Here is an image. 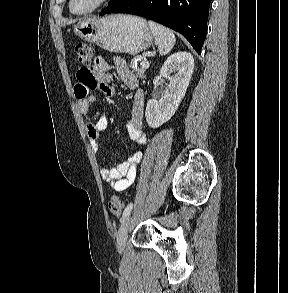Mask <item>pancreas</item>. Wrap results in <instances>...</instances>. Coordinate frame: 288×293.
Masks as SVG:
<instances>
[{
  "label": "pancreas",
  "instance_id": "cf45deb5",
  "mask_svg": "<svg viewBox=\"0 0 288 293\" xmlns=\"http://www.w3.org/2000/svg\"><path fill=\"white\" fill-rule=\"evenodd\" d=\"M130 67L132 68V72H136L137 77L143 78L145 76L146 68H137L134 62H131Z\"/></svg>",
  "mask_w": 288,
  "mask_h": 293
}]
</instances>
